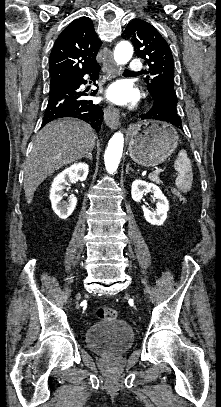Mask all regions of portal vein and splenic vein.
Segmentation results:
<instances>
[{
	"label": "portal vein and splenic vein",
	"instance_id": "1",
	"mask_svg": "<svg viewBox=\"0 0 221 407\" xmlns=\"http://www.w3.org/2000/svg\"><path fill=\"white\" fill-rule=\"evenodd\" d=\"M165 170L159 167H156L155 170L153 171L154 174H159L161 172H164Z\"/></svg>",
	"mask_w": 221,
	"mask_h": 407
}]
</instances>
